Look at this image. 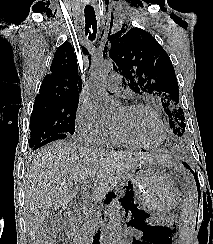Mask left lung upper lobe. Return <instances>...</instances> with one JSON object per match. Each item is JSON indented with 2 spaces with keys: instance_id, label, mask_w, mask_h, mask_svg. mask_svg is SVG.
<instances>
[{
  "instance_id": "1",
  "label": "left lung upper lobe",
  "mask_w": 213,
  "mask_h": 244,
  "mask_svg": "<svg viewBox=\"0 0 213 244\" xmlns=\"http://www.w3.org/2000/svg\"><path fill=\"white\" fill-rule=\"evenodd\" d=\"M109 40V56L115 62V71L124 76L134 92L159 99L173 133L185 137L184 112L178 104V82L166 51L150 33L140 28L122 27ZM107 49L105 46L104 51Z\"/></svg>"
}]
</instances>
